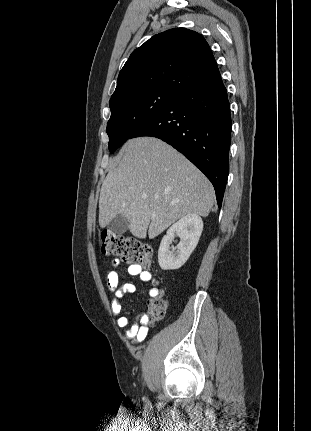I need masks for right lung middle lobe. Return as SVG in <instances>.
Segmentation results:
<instances>
[{
  "label": "right lung middle lobe",
  "mask_w": 311,
  "mask_h": 431,
  "mask_svg": "<svg viewBox=\"0 0 311 431\" xmlns=\"http://www.w3.org/2000/svg\"><path fill=\"white\" fill-rule=\"evenodd\" d=\"M179 96L178 93L145 89L110 99L111 117L107 123L109 150L113 153L131 134Z\"/></svg>",
  "instance_id": "right-lung-middle-lobe-1"
}]
</instances>
